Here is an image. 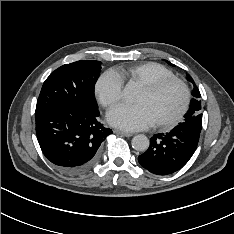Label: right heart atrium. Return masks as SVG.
Here are the masks:
<instances>
[{
  "mask_svg": "<svg viewBox=\"0 0 234 234\" xmlns=\"http://www.w3.org/2000/svg\"><path fill=\"white\" fill-rule=\"evenodd\" d=\"M123 82L111 70L103 72L96 80L94 91L104 107H111L122 97Z\"/></svg>",
  "mask_w": 234,
  "mask_h": 234,
  "instance_id": "1",
  "label": "right heart atrium"
}]
</instances>
